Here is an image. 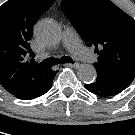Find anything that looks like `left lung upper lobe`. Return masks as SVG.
I'll use <instances>...</instances> for the list:
<instances>
[{
	"label": "left lung upper lobe",
	"mask_w": 135,
	"mask_h": 135,
	"mask_svg": "<svg viewBox=\"0 0 135 135\" xmlns=\"http://www.w3.org/2000/svg\"><path fill=\"white\" fill-rule=\"evenodd\" d=\"M61 9L99 55L97 75L129 86L135 78V20L110 0H62Z\"/></svg>",
	"instance_id": "5c2ea615"
}]
</instances>
